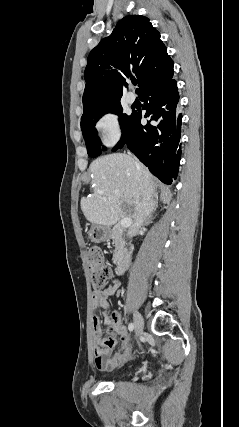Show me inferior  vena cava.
<instances>
[{
    "label": "inferior vena cava",
    "mask_w": 239,
    "mask_h": 427,
    "mask_svg": "<svg viewBox=\"0 0 239 427\" xmlns=\"http://www.w3.org/2000/svg\"><path fill=\"white\" fill-rule=\"evenodd\" d=\"M151 201L152 200H151L150 194L149 193H145L143 195V197H142V200L138 204V208H139L138 216L135 218L133 226L129 229L128 234L130 236H132L135 233L136 229L142 223V220H143L144 216L148 212V208H149V205H150Z\"/></svg>",
    "instance_id": "602c4592"
}]
</instances>
